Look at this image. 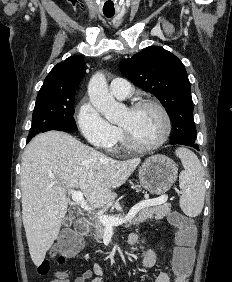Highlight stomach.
I'll list each match as a JSON object with an SVG mask.
<instances>
[{
    "mask_svg": "<svg viewBox=\"0 0 232 282\" xmlns=\"http://www.w3.org/2000/svg\"><path fill=\"white\" fill-rule=\"evenodd\" d=\"M176 163L167 156L148 157L138 169V178L142 187L153 195L167 192L177 179Z\"/></svg>",
    "mask_w": 232,
    "mask_h": 282,
    "instance_id": "0dacf381",
    "label": "stomach"
}]
</instances>
